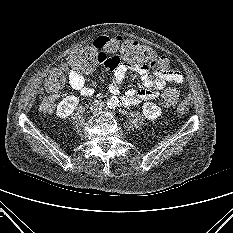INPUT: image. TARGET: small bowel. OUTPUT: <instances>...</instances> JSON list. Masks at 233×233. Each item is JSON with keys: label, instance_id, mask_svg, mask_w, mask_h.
I'll return each mask as SVG.
<instances>
[{"label": "small bowel", "instance_id": "obj_1", "mask_svg": "<svg viewBox=\"0 0 233 233\" xmlns=\"http://www.w3.org/2000/svg\"><path fill=\"white\" fill-rule=\"evenodd\" d=\"M102 38L97 39L94 44H98ZM103 63L107 69L113 72V81L108 87L110 94H119L128 69L134 70L141 76L145 87L128 90L121 98V103L124 106L138 105L144 101L155 99L159 96L166 82L181 83L183 80L179 72L168 68H157L152 71L146 65H126L121 62L118 55L109 56ZM69 83L73 89L79 91L83 96H91L96 91V85H87L85 78L75 69H72L69 73Z\"/></svg>", "mask_w": 233, "mask_h": 233}]
</instances>
